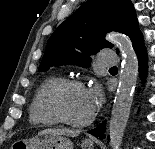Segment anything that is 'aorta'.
<instances>
[{
    "label": "aorta",
    "mask_w": 155,
    "mask_h": 149,
    "mask_svg": "<svg viewBox=\"0 0 155 149\" xmlns=\"http://www.w3.org/2000/svg\"><path fill=\"white\" fill-rule=\"evenodd\" d=\"M108 39L119 47L123 58L109 123L110 145L112 149H120L137 82L138 59L129 37L113 33Z\"/></svg>",
    "instance_id": "1"
}]
</instances>
